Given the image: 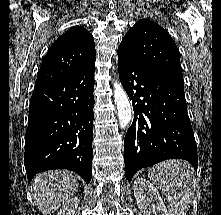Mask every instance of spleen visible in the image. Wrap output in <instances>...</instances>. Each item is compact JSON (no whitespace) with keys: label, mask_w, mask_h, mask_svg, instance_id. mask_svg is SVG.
<instances>
[{"label":"spleen","mask_w":221,"mask_h":215,"mask_svg":"<svg viewBox=\"0 0 221 215\" xmlns=\"http://www.w3.org/2000/svg\"><path fill=\"white\" fill-rule=\"evenodd\" d=\"M148 176L166 196L170 215H186L197 188L193 167L183 160H166L153 166Z\"/></svg>","instance_id":"obj_1"}]
</instances>
